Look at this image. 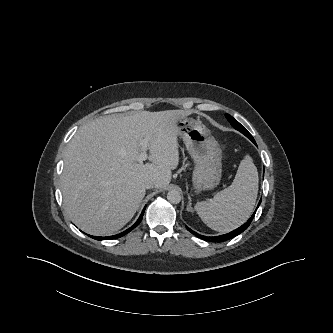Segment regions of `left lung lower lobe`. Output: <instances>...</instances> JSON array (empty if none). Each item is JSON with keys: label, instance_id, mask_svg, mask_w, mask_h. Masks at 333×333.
<instances>
[{"label": "left lung lower lobe", "instance_id": "0a47b994", "mask_svg": "<svg viewBox=\"0 0 333 333\" xmlns=\"http://www.w3.org/2000/svg\"><path fill=\"white\" fill-rule=\"evenodd\" d=\"M253 143L256 145L255 142H253ZM260 203H261V200L259 201L258 206H257L255 212L253 213V215L250 217V219L246 223H244L242 226H240L239 228L231 231L230 233L223 234V235H220V236L208 237V236L199 235L195 231L191 230L189 227H186V228L192 234H194V235H196V236H198V237H200V238H202L203 240H206V241H211V242H224V241H227V240L232 239L235 236L239 235L240 233H242L243 231H245L248 228V226L250 225L253 217L255 216V213H256V211H257Z\"/></svg>", "mask_w": 333, "mask_h": 333}]
</instances>
